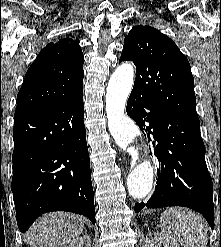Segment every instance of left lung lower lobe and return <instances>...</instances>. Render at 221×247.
Returning a JSON list of instances; mask_svg holds the SVG:
<instances>
[{
    "label": "left lung lower lobe",
    "instance_id": "0a47b994",
    "mask_svg": "<svg viewBox=\"0 0 221 247\" xmlns=\"http://www.w3.org/2000/svg\"><path fill=\"white\" fill-rule=\"evenodd\" d=\"M126 110L140 129L153 137L159 163L155 192L147 203H136L135 212L144 207H188L200 212L213 229V183L205 162L199 120L177 115L132 93Z\"/></svg>",
    "mask_w": 221,
    "mask_h": 247
}]
</instances>
